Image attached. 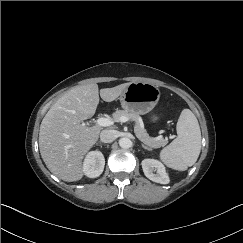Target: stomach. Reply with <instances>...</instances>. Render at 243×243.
I'll use <instances>...</instances> for the list:
<instances>
[{
	"label": "stomach",
	"instance_id": "stomach-1",
	"mask_svg": "<svg viewBox=\"0 0 243 243\" xmlns=\"http://www.w3.org/2000/svg\"><path fill=\"white\" fill-rule=\"evenodd\" d=\"M160 90L157 86L146 82H131L120 95L119 100L123 109L129 112L144 115L149 113L160 99ZM152 121L158 117L152 116Z\"/></svg>",
	"mask_w": 243,
	"mask_h": 243
}]
</instances>
